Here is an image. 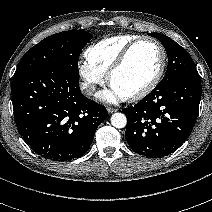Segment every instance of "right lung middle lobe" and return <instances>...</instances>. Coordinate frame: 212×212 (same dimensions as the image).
I'll list each match as a JSON object with an SVG mask.
<instances>
[{"label":"right lung middle lobe","mask_w":212,"mask_h":212,"mask_svg":"<svg viewBox=\"0 0 212 212\" xmlns=\"http://www.w3.org/2000/svg\"><path fill=\"white\" fill-rule=\"evenodd\" d=\"M92 35L83 30H69L51 35L28 50L15 75L41 68L65 71L79 79L78 56Z\"/></svg>","instance_id":"dd1d6c3e"}]
</instances>
